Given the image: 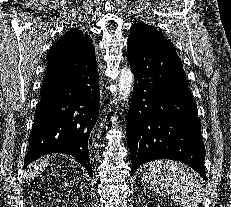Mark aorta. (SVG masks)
Returning a JSON list of instances; mask_svg holds the SVG:
<instances>
[{
  "mask_svg": "<svg viewBox=\"0 0 231 207\" xmlns=\"http://www.w3.org/2000/svg\"><path fill=\"white\" fill-rule=\"evenodd\" d=\"M134 82V75L129 67L121 69L119 75V97L121 100H127L129 97Z\"/></svg>",
  "mask_w": 231,
  "mask_h": 207,
  "instance_id": "1",
  "label": "aorta"
}]
</instances>
